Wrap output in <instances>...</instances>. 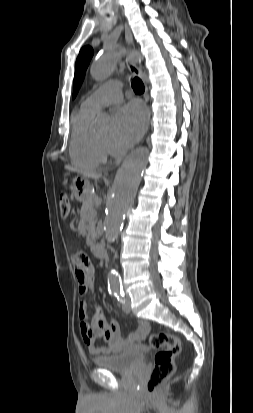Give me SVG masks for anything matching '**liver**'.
<instances>
[{"instance_id":"liver-1","label":"liver","mask_w":253,"mask_h":413,"mask_svg":"<svg viewBox=\"0 0 253 413\" xmlns=\"http://www.w3.org/2000/svg\"><path fill=\"white\" fill-rule=\"evenodd\" d=\"M66 170L72 171V172H80L77 168L71 167V166H65ZM85 176L93 178V179H98L100 178V174H94V173H84Z\"/></svg>"}]
</instances>
